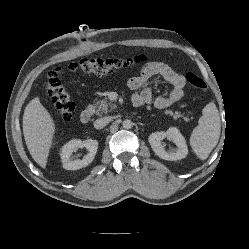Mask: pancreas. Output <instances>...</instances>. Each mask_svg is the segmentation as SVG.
Here are the masks:
<instances>
[{"instance_id": "1", "label": "pancreas", "mask_w": 249, "mask_h": 249, "mask_svg": "<svg viewBox=\"0 0 249 249\" xmlns=\"http://www.w3.org/2000/svg\"><path fill=\"white\" fill-rule=\"evenodd\" d=\"M94 111L97 115H103V114H107L109 112H111L112 110L116 109V105L110 101H108L106 98L102 99L100 101H98L95 105H94ZM166 114L172 116L175 120L179 119V118H183L185 121H190L189 117L184 116L183 114H181L179 111L176 112H172L170 110L166 111Z\"/></svg>"}]
</instances>
